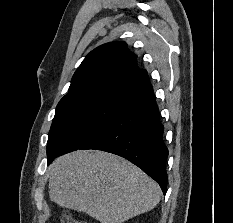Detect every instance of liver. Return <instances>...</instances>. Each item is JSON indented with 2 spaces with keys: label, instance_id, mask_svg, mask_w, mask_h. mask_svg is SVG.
Returning a JSON list of instances; mask_svg holds the SVG:
<instances>
[{
  "label": "liver",
  "instance_id": "1",
  "mask_svg": "<svg viewBox=\"0 0 233 223\" xmlns=\"http://www.w3.org/2000/svg\"><path fill=\"white\" fill-rule=\"evenodd\" d=\"M49 197L64 209L87 213L100 223H123L150 211L161 189L124 157L78 149L61 155L47 169Z\"/></svg>",
  "mask_w": 233,
  "mask_h": 223
}]
</instances>
